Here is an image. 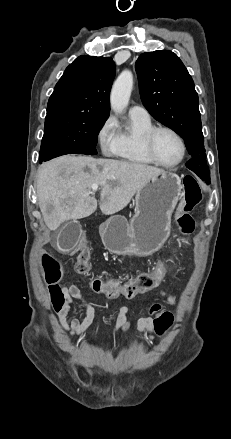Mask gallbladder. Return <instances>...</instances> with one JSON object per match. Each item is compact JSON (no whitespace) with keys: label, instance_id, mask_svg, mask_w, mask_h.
Returning a JSON list of instances; mask_svg holds the SVG:
<instances>
[{"label":"gallbladder","instance_id":"obj_1","mask_svg":"<svg viewBox=\"0 0 231 439\" xmlns=\"http://www.w3.org/2000/svg\"><path fill=\"white\" fill-rule=\"evenodd\" d=\"M81 231V225L76 220L70 221L65 224L57 232L56 245L58 250L62 252L72 250L78 243Z\"/></svg>","mask_w":231,"mask_h":439}]
</instances>
